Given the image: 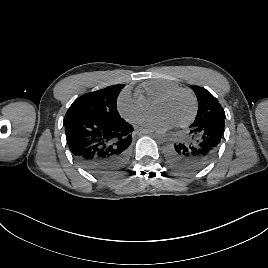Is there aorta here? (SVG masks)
<instances>
[{"instance_id":"762f6f07","label":"aorta","mask_w":268,"mask_h":268,"mask_svg":"<svg viewBox=\"0 0 268 268\" xmlns=\"http://www.w3.org/2000/svg\"><path fill=\"white\" fill-rule=\"evenodd\" d=\"M154 138L157 142L162 143L166 140L167 135L164 131L159 130L155 133Z\"/></svg>"}]
</instances>
